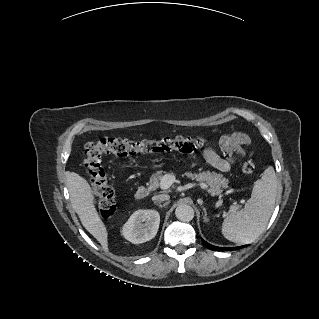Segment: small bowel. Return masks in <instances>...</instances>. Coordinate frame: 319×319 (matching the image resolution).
<instances>
[{"label":"small bowel","instance_id":"obj_1","mask_svg":"<svg viewBox=\"0 0 319 319\" xmlns=\"http://www.w3.org/2000/svg\"><path fill=\"white\" fill-rule=\"evenodd\" d=\"M249 144V139L245 134L237 133L224 136L220 140V147L224 157L219 156L213 149H204L202 154L205 163L211 168L220 172H228L234 164L236 157L244 155V146Z\"/></svg>","mask_w":319,"mask_h":319}]
</instances>
